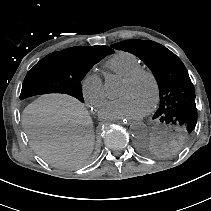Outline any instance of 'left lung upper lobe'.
Masks as SVG:
<instances>
[{"label":"left lung upper lobe","mask_w":211,"mask_h":211,"mask_svg":"<svg viewBox=\"0 0 211 211\" xmlns=\"http://www.w3.org/2000/svg\"><path fill=\"white\" fill-rule=\"evenodd\" d=\"M112 47L139 57L151 69L159 86L160 105L153 119L167 128V142L161 148L143 144L141 150L147 155L157 156L167 147L184 145L196 126L197 109L195 89L182 61L154 41L126 40Z\"/></svg>","instance_id":"1"}]
</instances>
